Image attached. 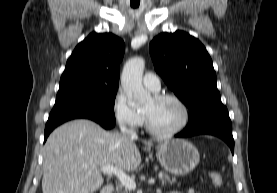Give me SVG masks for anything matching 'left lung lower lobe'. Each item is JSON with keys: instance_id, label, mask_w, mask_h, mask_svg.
<instances>
[{"instance_id": "left-lung-lower-lobe-1", "label": "left lung lower lobe", "mask_w": 277, "mask_h": 193, "mask_svg": "<svg viewBox=\"0 0 277 193\" xmlns=\"http://www.w3.org/2000/svg\"><path fill=\"white\" fill-rule=\"evenodd\" d=\"M199 134H210L220 137L229 145L231 152L234 153L232 125L225 106L203 112L199 117L188 122V126L175 136L186 138Z\"/></svg>"}]
</instances>
